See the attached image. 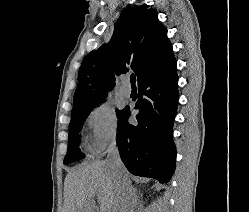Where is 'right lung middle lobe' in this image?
<instances>
[{
    "instance_id": "dd1d6c3e",
    "label": "right lung middle lobe",
    "mask_w": 249,
    "mask_h": 212,
    "mask_svg": "<svg viewBox=\"0 0 249 212\" xmlns=\"http://www.w3.org/2000/svg\"><path fill=\"white\" fill-rule=\"evenodd\" d=\"M99 103L100 102L88 107L72 110L71 121L69 124L68 150L64 158V164H70L84 157V155L81 153L78 147L80 141V131L82 129L85 119L88 117L90 112L96 106L99 105ZM116 112H117V117L119 118L122 113V110H117Z\"/></svg>"
}]
</instances>
